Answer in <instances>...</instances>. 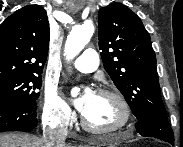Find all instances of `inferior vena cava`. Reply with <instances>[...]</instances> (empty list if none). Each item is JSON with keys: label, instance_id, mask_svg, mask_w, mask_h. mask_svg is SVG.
<instances>
[{"label": "inferior vena cava", "instance_id": "1", "mask_svg": "<svg viewBox=\"0 0 183 147\" xmlns=\"http://www.w3.org/2000/svg\"><path fill=\"white\" fill-rule=\"evenodd\" d=\"M67 133V128H47L42 141L46 147H63Z\"/></svg>", "mask_w": 183, "mask_h": 147}]
</instances>
